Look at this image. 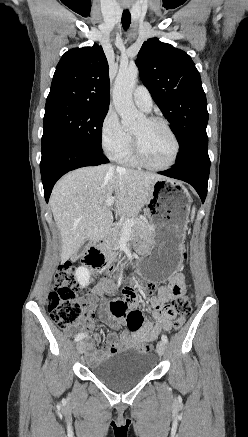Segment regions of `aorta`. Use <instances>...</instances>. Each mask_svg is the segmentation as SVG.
<instances>
[{
	"label": "aorta",
	"instance_id": "obj_1",
	"mask_svg": "<svg viewBox=\"0 0 248 437\" xmlns=\"http://www.w3.org/2000/svg\"><path fill=\"white\" fill-rule=\"evenodd\" d=\"M137 76L138 69L129 67L120 70L115 80L113 104L124 127H134L143 118V114L136 109L132 99Z\"/></svg>",
	"mask_w": 248,
	"mask_h": 437
}]
</instances>
